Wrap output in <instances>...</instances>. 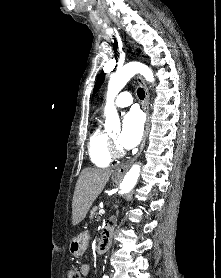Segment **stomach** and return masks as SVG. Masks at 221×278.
<instances>
[{
    "mask_svg": "<svg viewBox=\"0 0 221 278\" xmlns=\"http://www.w3.org/2000/svg\"><path fill=\"white\" fill-rule=\"evenodd\" d=\"M112 179L117 181L119 177L113 175ZM89 235L86 232L80 233L74 237L69 244V252L75 257L82 256L88 247Z\"/></svg>",
    "mask_w": 221,
    "mask_h": 278,
    "instance_id": "1",
    "label": "stomach"
}]
</instances>
